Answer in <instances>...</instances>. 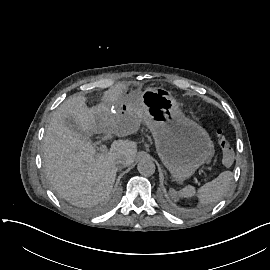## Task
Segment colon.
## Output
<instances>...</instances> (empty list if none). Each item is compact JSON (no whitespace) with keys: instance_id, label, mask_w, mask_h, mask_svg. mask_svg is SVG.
<instances>
[{"instance_id":"1","label":"colon","mask_w":270,"mask_h":270,"mask_svg":"<svg viewBox=\"0 0 270 270\" xmlns=\"http://www.w3.org/2000/svg\"><path fill=\"white\" fill-rule=\"evenodd\" d=\"M214 132L217 136V144L223 150L221 160L225 165H232L234 163V155L229 140L223 136V130L218 127H214Z\"/></svg>"}]
</instances>
